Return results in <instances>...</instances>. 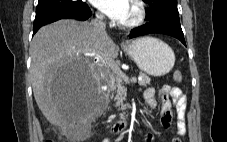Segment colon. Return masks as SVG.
Wrapping results in <instances>:
<instances>
[{"label": "colon", "mask_w": 227, "mask_h": 142, "mask_svg": "<svg viewBox=\"0 0 227 142\" xmlns=\"http://www.w3.org/2000/svg\"><path fill=\"white\" fill-rule=\"evenodd\" d=\"M174 79H175L176 81H180V80L182 79L181 73H180V72H176V73L174 74ZM46 142H54V141H52V140H47Z\"/></svg>", "instance_id": "5ec220e1"}]
</instances>
